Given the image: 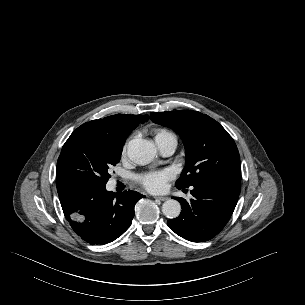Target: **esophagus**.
<instances>
[{
    "instance_id": "obj_1",
    "label": "esophagus",
    "mask_w": 305,
    "mask_h": 305,
    "mask_svg": "<svg viewBox=\"0 0 305 305\" xmlns=\"http://www.w3.org/2000/svg\"><path fill=\"white\" fill-rule=\"evenodd\" d=\"M153 198L160 201H166L168 199L166 196H154Z\"/></svg>"
}]
</instances>
